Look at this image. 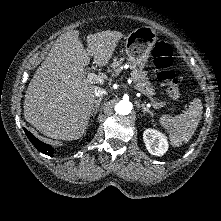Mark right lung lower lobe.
Masks as SVG:
<instances>
[{"mask_svg": "<svg viewBox=\"0 0 221 221\" xmlns=\"http://www.w3.org/2000/svg\"><path fill=\"white\" fill-rule=\"evenodd\" d=\"M24 131H25L27 137L29 138V140L32 142V144L37 148V150H39L40 152H42L46 155L53 156V148L50 145L38 140L28 130L24 129Z\"/></svg>", "mask_w": 221, "mask_h": 221, "instance_id": "98d812e1", "label": "right lung lower lobe"}]
</instances>
